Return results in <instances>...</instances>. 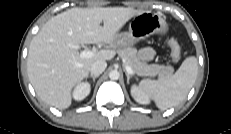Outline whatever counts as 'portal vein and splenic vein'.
<instances>
[{"instance_id": "portal-vein-and-splenic-vein-1", "label": "portal vein and splenic vein", "mask_w": 231, "mask_h": 134, "mask_svg": "<svg viewBox=\"0 0 231 134\" xmlns=\"http://www.w3.org/2000/svg\"><path fill=\"white\" fill-rule=\"evenodd\" d=\"M71 48H74V49H80V46L79 45H69ZM94 55V51H91V50H83L81 53H80V57L81 58H91L92 56ZM125 70L129 73V74H133V69L126 65L125 66Z\"/></svg>"}]
</instances>
